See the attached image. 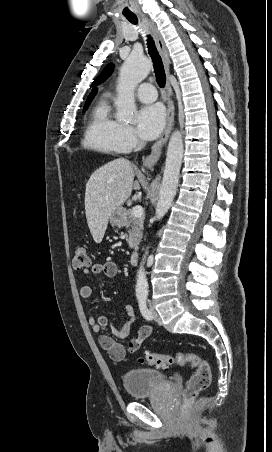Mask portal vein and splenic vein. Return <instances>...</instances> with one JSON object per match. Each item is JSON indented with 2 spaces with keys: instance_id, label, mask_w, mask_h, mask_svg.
<instances>
[{
  "instance_id": "obj_1",
  "label": "portal vein and splenic vein",
  "mask_w": 272,
  "mask_h": 452,
  "mask_svg": "<svg viewBox=\"0 0 272 452\" xmlns=\"http://www.w3.org/2000/svg\"><path fill=\"white\" fill-rule=\"evenodd\" d=\"M132 214L134 217H141L143 215V208L140 205H136L132 209Z\"/></svg>"
}]
</instances>
